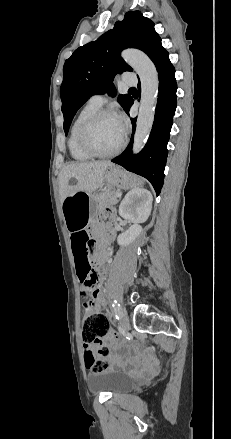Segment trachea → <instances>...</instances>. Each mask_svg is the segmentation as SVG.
Returning a JSON list of instances; mask_svg holds the SVG:
<instances>
[{"instance_id":"obj_1","label":"trachea","mask_w":231,"mask_h":439,"mask_svg":"<svg viewBox=\"0 0 231 439\" xmlns=\"http://www.w3.org/2000/svg\"><path fill=\"white\" fill-rule=\"evenodd\" d=\"M129 90H135V88H134V87H132V88H130Z\"/></svg>"}]
</instances>
